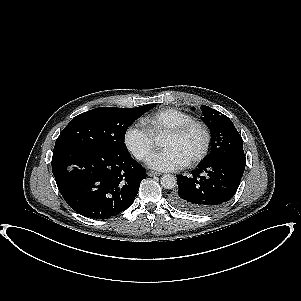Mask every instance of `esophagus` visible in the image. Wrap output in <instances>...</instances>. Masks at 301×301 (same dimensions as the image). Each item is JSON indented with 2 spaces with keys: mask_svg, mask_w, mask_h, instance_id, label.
<instances>
[{
  "mask_svg": "<svg viewBox=\"0 0 301 301\" xmlns=\"http://www.w3.org/2000/svg\"><path fill=\"white\" fill-rule=\"evenodd\" d=\"M147 174H148V176H150V177H152V176H159V175H160V173L154 172V171H149Z\"/></svg>",
  "mask_w": 301,
  "mask_h": 301,
  "instance_id": "34e87169",
  "label": "esophagus"
}]
</instances>
